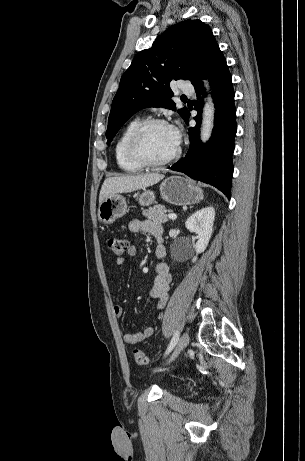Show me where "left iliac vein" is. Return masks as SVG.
Masks as SVG:
<instances>
[{
    "mask_svg": "<svg viewBox=\"0 0 305 461\" xmlns=\"http://www.w3.org/2000/svg\"><path fill=\"white\" fill-rule=\"evenodd\" d=\"M190 340L189 334L187 332L183 333V335L180 337L175 350L170 358V361L176 358V356L188 345Z\"/></svg>",
    "mask_w": 305,
    "mask_h": 461,
    "instance_id": "obj_1",
    "label": "left iliac vein"
}]
</instances>
